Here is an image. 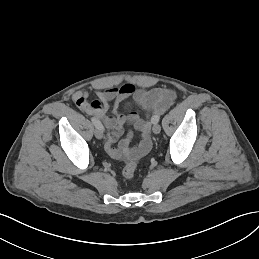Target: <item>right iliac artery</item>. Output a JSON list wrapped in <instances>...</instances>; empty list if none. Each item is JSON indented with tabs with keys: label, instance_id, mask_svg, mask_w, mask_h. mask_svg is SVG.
I'll return each instance as SVG.
<instances>
[{
	"label": "right iliac artery",
	"instance_id": "right-iliac-artery-1",
	"mask_svg": "<svg viewBox=\"0 0 259 259\" xmlns=\"http://www.w3.org/2000/svg\"><path fill=\"white\" fill-rule=\"evenodd\" d=\"M91 121H92V123L94 124V126H95L96 128H99V129H101L102 131L104 130L103 125H102V123H101L99 120H97L96 118L92 117V118H91Z\"/></svg>",
	"mask_w": 259,
	"mask_h": 259
}]
</instances>
